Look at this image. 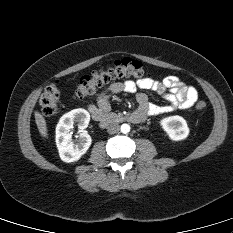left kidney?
<instances>
[{
	"mask_svg": "<svg viewBox=\"0 0 233 233\" xmlns=\"http://www.w3.org/2000/svg\"><path fill=\"white\" fill-rule=\"evenodd\" d=\"M160 125L173 141L183 140L189 135L187 122L181 116L175 115L163 118Z\"/></svg>",
	"mask_w": 233,
	"mask_h": 233,
	"instance_id": "5707ae66",
	"label": "left kidney"
}]
</instances>
